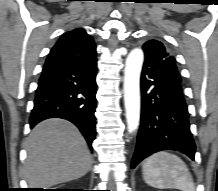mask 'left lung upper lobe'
<instances>
[{
    "label": "left lung upper lobe",
    "mask_w": 218,
    "mask_h": 191,
    "mask_svg": "<svg viewBox=\"0 0 218 191\" xmlns=\"http://www.w3.org/2000/svg\"><path fill=\"white\" fill-rule=\"evenodd\" d=\"M145 60L161 73L170 76L167 85H172L177 80L181 83L180 73L175 58L168 52L163 44L157 40H149L143 45Z\"/></svg>",
    "instance_id": "5c2ea615"
}]
</instances>
